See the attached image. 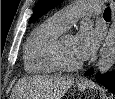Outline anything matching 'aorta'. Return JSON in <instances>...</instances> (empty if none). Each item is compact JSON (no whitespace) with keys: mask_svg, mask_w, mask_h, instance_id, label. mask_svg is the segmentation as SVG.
<instances>
[{"mask_svg":"<svg viewBox=\"0 0 115 99\" xmlns=\"http://www.w3.org/2000/svg\"><path fill=\"white\" fill-rule=\"evenodd\" d=\"M115 11V6L113 12ZM115 63V18L109 29L98 60V71L101 74L106 73Z\"/></svg>","mask_w":115,"mask_h":99,"instance_id":"1","label":"aorta"}]
</instances>
